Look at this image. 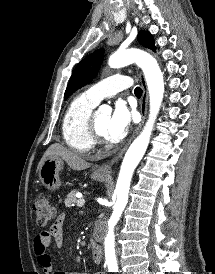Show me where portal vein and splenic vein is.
Wrapping results in <instances>:
<instances>
[{
    "label": "portal vein and splenic vein",
    "mask_w": 215,
    "mask_h": 274,
    "mask_svg": "<svg viewBox=\"0 0 215 274\" xmlns=\"http://www.w3.org/2000/svg\"><path fill=\"white\" fill-rule=\"evenodd\" d=\"M84 204H85V200H84V199H79V200L77 201V206H78V207H82V206H84Z\"/></svg>",
    "instance_id": "18ae733b"
}]
</instances>
